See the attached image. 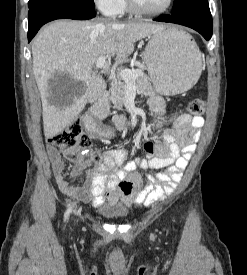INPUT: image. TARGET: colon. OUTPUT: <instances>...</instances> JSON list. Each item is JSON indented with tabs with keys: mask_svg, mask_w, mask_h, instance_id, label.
I'll use <instances>...</instances> for the list:
<instances>
[{
	"mask_svg": "<svg viewBox=\"0 0 247 275\" xmlns=\"http://www.w3.org/2000/svg\"><path fill=\"white\" fill-rule=\"evenodd\" d=\"M205 110V104L201 99H194L188 104V111L193 115H201ZM50 144L60 148L66 158L78 161L82 158V151L91 144L89 136L83 131L80 121L76 120L61 132L51 136L48 140ZM91 160L96 164H101L102 157L98 152L91 154ZM120 190L123 193L130 191L129 185L121 184Z\"/></svg>",
	"mask_w": 247,
	"mask_h": 275,
	"instance_id": "colon-1",
	"label": "colon"
}]
</instances>
